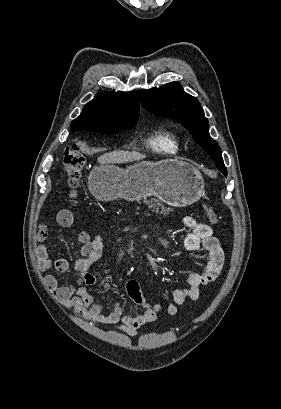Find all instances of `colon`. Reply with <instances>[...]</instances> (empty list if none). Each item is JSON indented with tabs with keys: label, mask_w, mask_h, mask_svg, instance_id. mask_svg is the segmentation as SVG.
<instances>
[{
	"label": "colon",
	"mask_w": 281,
	"mask_h": 409,
	"mask_svg": "<svg viewBox=\"0 0 281 409\" xmlns=\"http://www.w3.org/2000/svg\"><path fill=\"white\" fill-rule=\"evenodd\" d=\"M85 164L86 159L77 148L71 147L64 152L65 182L69 188L75 189L79 185V175ZM205 211L210 222H218V215L210 206H206Z\"/></svg>",
	"instance_id": "1"
}]
</instances>
